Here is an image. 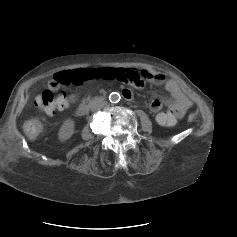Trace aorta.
<instances>
[{
	"instance_id": "aorta-1",
	"label": "aorta",
	"mask_w": 237,
	"mask_h": 237,
	"mask_svg": "<svg viewBox=\"0 0 237 237\" xmlns=\"http://www.w3.org/2000/svg\"><path fill=\"white\" fill-rule=\"evenodd\" d=\"M120 99H121L120 94L117 92H112L109 95V100L111 103H118L120 101Z\"/></svg>"
}]
</instances>
